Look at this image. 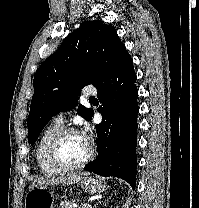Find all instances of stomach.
<instances>
[{
	"mask_svg": "<svg viewBox=\"0 0 199 208\" xmlns=\"http://www.w3.org/2000/svg\"><path fill=\"white\" fill-rule=\"evenodd\" d=\"M80 186L85 193L97 194L106 190L107 185L101 178L85 177ZM54 195L47 186H37L25 196L24 208H53Z\"/></svg>",
	"mask_w": 199,
	"mask_h": 208,
	"instance_id": "obj_1",
	"label": "stomach"
}]
</instances>
